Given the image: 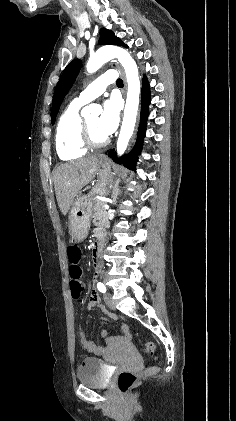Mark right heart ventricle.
Listing matches in <instances>:
<instances>
[{"instance_id":"obj_1","label":"right heart ventricle","mask_w":236,"mask_h":421,"mask_svg":"<svg viewBox=\"0 0 236 421\" xmlns=\"http://www.w3.org/2000/svg\"><path fill=\"white\" fill-rule=\"evenodd\" d=\"M81 103L72 101L58 119L55 135L56 152L61 160L72 162L87 153L78 140L77 128L81 120Z\"/></svg>"}]
</instances>
